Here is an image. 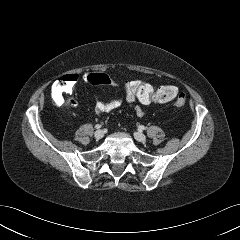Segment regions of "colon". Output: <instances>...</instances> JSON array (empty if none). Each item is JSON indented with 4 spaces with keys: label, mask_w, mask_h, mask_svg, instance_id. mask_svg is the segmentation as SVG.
Returning <instances> with one entry per match:
<instances>
[{
    "label": "colon",
    "mask_w": 240,
    "mask_h": 240,
    "mask_svg": "<svg viewBox=\"0 0 240 240\" xmlns=\"http://www.w3.org/2000/svg\"><path fill=\"white\" fill-rule=\"evenodd\" d=\"M74 76H66L56 80L52 87L53 99L63 104L70 95L75 83ZM86 80L93 85H116L115 81L104 73H91ZM127 92L139 104L172 102L176 108H182L187 102L186 95L173 85L154 86L143 79H133L124 83Z\"/></svg>",
    "instance_id": "colon-1"
}]
</instances>
